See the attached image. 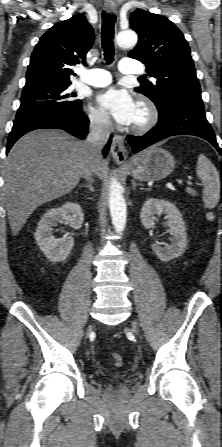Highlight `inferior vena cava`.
<instances>
[{
  "mask_svg": "<svg viewBox=\"0 0 222 447\" xmlns=\"http://www.w3.org/2000/svg\"><path fill=\"white\" fill-rule=\"evenodd\" d=\"M111 132L112 123L107 116L91 122L87 143L89 144L95 158L102 159L101 150L107 143ZM94 172L95 166L91 165L90 169L87 170L83 176L88 179Z\"/></svg>",
  "mask_w": 222,
  "mask_h": 447,
  "instance_id": "obj_1",
  "label": "inferior vena cava"
}]
</instances>
